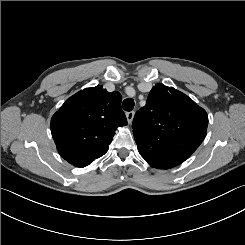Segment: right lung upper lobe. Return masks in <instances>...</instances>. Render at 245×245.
Here are the masks:
<instances>
[{"label":"right lung upper lobe","instance_id":"cb5924a9","mask_svg":"<svg viewBox=\"0 0 245 245\" xmlns=\"http://www.w3.org/2000/svg\"><path fill=\"white\" fill-rule=\"evenodd\" d=\"M119 92L102 86L71 96L51 119V133L60 155L76 167L103 156L115 130L127 124Z\"/></svg>","mask_w":245,"mask_h":245}]
</instances>
